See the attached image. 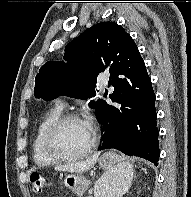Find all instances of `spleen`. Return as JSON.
Instances as JSON below:
<instances>
[{
  "label": "spleen",
  "mask_w": 191,
  "mask_h": 197,
  "mask_svg": "<svg viewBox=\"0 0 191 197\" xmlns=\"http://www.w3.org/2000/svg\"><path fill=\"white\" fill-rule=\"evenodd\" d=\"M111 178L114 180L113 193L111 197H122L131 185L133 178L132 165L127 162L119 163L111 172ZM96 194L98 195V192H96Z\"/></svg>",
  "instance_id": "obj_1"
}]
</instances>
